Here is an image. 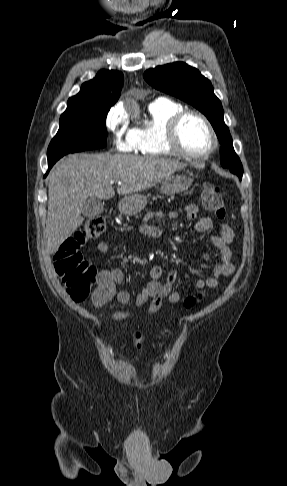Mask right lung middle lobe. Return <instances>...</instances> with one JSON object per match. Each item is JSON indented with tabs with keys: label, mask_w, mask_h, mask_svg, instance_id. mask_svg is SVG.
<instances>
[{
	"label": "right lung middle lobe",
	"mask_w": 287,
	"mask_h": 486,
	"mask_svg": "<svg viewBox=\"0 0 287 486\" xmlns=\"http://www.w3.org/2000/svg\"><path fill=\"white\" fill-rule=\"evenodd\" d=\"M109 109L106 105L67 107L60 117L59 130L48 147V164L68 153L104 148Z\"/></svg>",
	"instance_id": "right-lung-middle-lobe-1"
}]
</instances>
